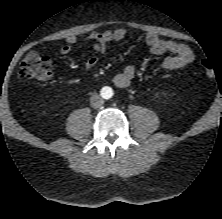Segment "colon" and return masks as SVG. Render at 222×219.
<instances>
[{
  "instance_id": "obj_1",
  "label": "colon",
  "mask_w": 222,
  "mask_h": 219,
  "mask_svg": "<svg viewBox=\"0 0 222 219\" xmlns=\"http://www.w3.org/2000/svg\"><path fill=\"white\" fill-rule=\"evenodd\" d=\"M202 69L206 77L213 78L215 76V69L213 65L204 60L202 62ZM18 75L23 80H46L51 76V63L48 57L37 51H31L24 56L19 68Z\"/></svg>"
}]
</instances>
